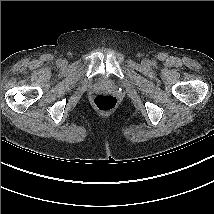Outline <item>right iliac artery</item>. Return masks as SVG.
Wrapping results in <instances>:
<instances>
[{"label":"right iliac artery","instance_id":"right-iliac-artery-1","mask_svg":"<svg viewBox=\"0 0 214 214\" xmlns=\"http://www.w3.org/2000/svg\"><path fill=\"white\" fill-rule=\"evenodd\" d=\"M57 64H58V65H61V64H62V60H61V59L58 60V61H57Z\"/></svg>","mask_w":214,"mask_h":214}]
</instances>
